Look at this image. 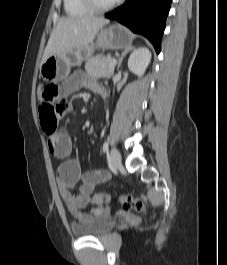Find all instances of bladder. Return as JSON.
<instances>
[{
    "label": "bladder",
    "mask_w": 227,
    "mask_h": 265,
    "mask_svg": "<svg viewBox=\"0 0 227 265\" xmlns=\"http://www.w3.org/2000/svg\"><path fill=\"white\" fill-rule=\"evenodd\" d=\"M113 226V218L111 216H103L90 222L73 225L72 233L77 237L99 238L108 233Z\"/></svg>",
    "instance_id": "bladder-1"
}]
</instances>
